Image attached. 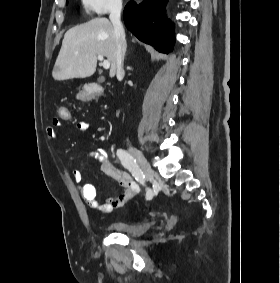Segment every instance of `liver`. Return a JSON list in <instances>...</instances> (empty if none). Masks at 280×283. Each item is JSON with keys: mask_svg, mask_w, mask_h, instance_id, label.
<instances>
[{"mask_svg": "<svg viewBox=\"0 0 280 283\" xmlns=\"http://www.w3.org/2000/svg\"><path fill=\"white\" fill-rule=\"evenodd\" d=\"M117 42L113 24L107 18H96L69 29L62 41L52 76L63 81L86 78L94 74L97 55L111 63L109 75L116 74Z\"/></svg>", "mask_w": 280, "mask_h": 283, "instance_id": "6515ba94", "label": "liver"}]
</instances>
